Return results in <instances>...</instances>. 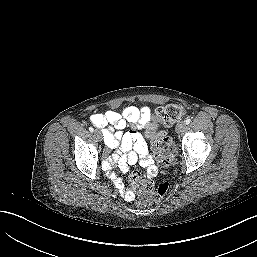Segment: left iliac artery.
Returning a JSON list of instances; mask_svg holds the SVG:
<instances>
[{"instance_id":"obj_1","label":"left iliac artery","mask_w":257,"mask_h":257,"mask_svg":"<svg viewBox=\"0 0 257 257\" xmlns=\"http://www.w3.org/2000/svg\"><path fill=\"white\" fill-rule=\"evenodd\" d=\"M191 122V119L190 118H187L186 120H185V123L188 125L189 123Z\"/></svg>"}]
</instances>
